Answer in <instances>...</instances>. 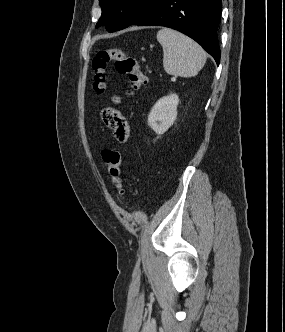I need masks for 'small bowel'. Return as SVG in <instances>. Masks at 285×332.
<instances>
[{
  "instance_id": "small-bowel-1",
  "label": "small bowel",
  "mask_w": 285,
  "mask_h": 332,
  "mask_svg": "<svg viewBox=\"0 0 285 332\" xmlns=\"http://www.w3.org/2000/svg\"><path fill=\"white\" fill-rule=\"evenodd\" d=\"M103 123L113 131L114 138L119 143H125L130 134L126 118L115 108H107L101 113Z\"/></svg>"
}]
</instances>
